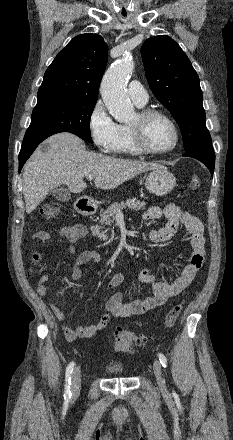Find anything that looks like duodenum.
Wrapping results in <instances>:
<instances>
[{
    "instance_id": "410a0bca",
    "label": "duodenum",
    "mask_w": 233,
    "mask_h": 440,
    "mask_svg": "<svg viewBox=\"0 0 233 440\" xmlns=\"http://www.w3.org/2000/svg\"><path fill=\"white\" fill-rule=\"evenodd\" d=\"M77 210L82 216H91L95 209L89 204L87 200H82L77 204Z\"/></svg>"
}]
</instances>
